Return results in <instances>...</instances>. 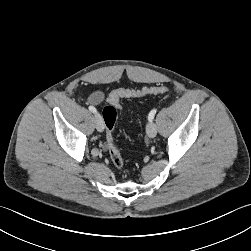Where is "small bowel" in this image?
<instances>
[{
	"label": "small bowel",
	"instance_id": "c3829d8e",
	"mask_svg": "<svg viewBox=\"0 0 251 251\" xmlns=\"http://www.w3.org/2000/svg\"><path fill=\"white\" fill-rule=\"evenodd\" d=\"M104 100V94L102 92H94L88 98V101L94 105L100 104Z\"/></svg>",
	"mask_w": 251,
	"mask_h": 251
}]
</instances>
